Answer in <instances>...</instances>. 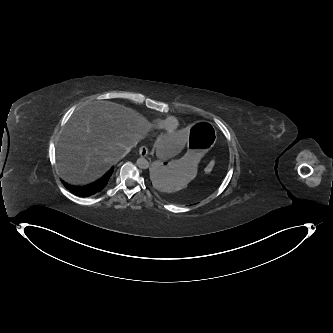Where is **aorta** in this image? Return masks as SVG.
Wrapping results in <instances>:
<instances>
[{"instance_id":"aorta-1","label":"aorta","mask_w":333,"mask_h":333,"mask_svg":"<svg viewBox=\"0 0 333 333\" xmlns=\"http://www.w3.org/2000/svg\"><path fill=\"white\" fill-rule=\"evenodd\" d=\"M136 164H137V166L140 169H147V168H149V162H148V160L145 159V158H143V157L138 158Z\"/></svg>"}]
</instances>
